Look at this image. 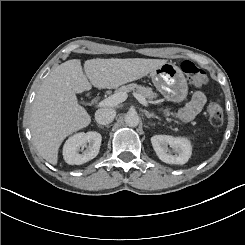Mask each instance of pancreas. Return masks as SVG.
I'll return each instance as SVG.
<instances>
[{
    "mask_svg": "<svg viewBox=\"0 0 245 245\" xmlns=\"http://www.w3.org/2000/svg\"><path fill=\"white\" fill-rule=\"evenodd\" d=\"M129 92L140 94L141 96L148 99L149 101H152L153 99L157 98V94L152 91V88L144 87L135 83L121 86L115 91V93H129ZM164 113L168 114L169 112L167 110H164ZM167 120L171 121V119H167Z\"/></svg>",
    "mask_w": 245,
    "mask_h": 245,
    "instance_id": "cf45deb5",
    "label": "pancreas"
}]
</instances>
